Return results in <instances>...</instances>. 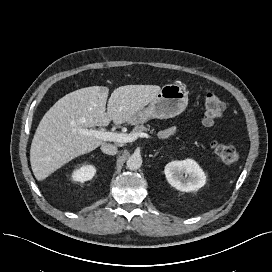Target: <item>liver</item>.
<instances>
[{"instance_id":"obj_1","label":"liver","mask_w":272,"mask_h":272,"mask_svg":"<svg viewBox=\"0 0 272 272\" xmlns=\"http://www.w3.org/2000/svg\"><path fill=\"white\" fill-rule=\"evenodd\" d=\"M161 88L157 85H126L115 89L92 86L59 99L40 121L30 149V163L38 181L44 180L72 159L95 150L104 142L78 129L120 125L148 105Z\"/></svg>"}]
</instances>
